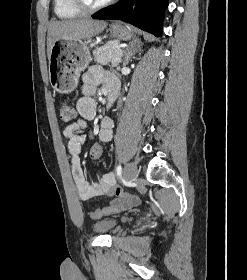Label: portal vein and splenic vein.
<instances>
[{"label": "portal vein and splenic vein", "mask_w": 247, "mask_h": 280, "mask_svg": "<svg viewBox=\"0 0 247 280\" xmlns=\"http://www.w3.org/2000/svg\"><path fill=\"white\" fill-rule=\"evenodd\" d=\"M121 53L119 54V57L115 58L114 59V62H121Z\"/></svg>", "instance_id": "obj_1"}]
</instances>
